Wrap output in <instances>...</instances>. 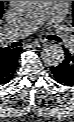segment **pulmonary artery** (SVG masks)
<instances>
[{
  "label": "pulmonary artery",
  "mask_w": 74,
  "mask_h": 122,
  "mask_svg": "<svg viewBox=\"0 0 74 122\" xmlns=\"http://www.w3.org/2000/svg\"><path fill=\"white\" fill-rule=\"evenodd\" d=\"M56 5L57 1H38L35 9L25 14L6 30L5 39L7 41H14L30 34L54 14ZM56 27L55 32L62 42L71 43L72 40L67 30L58 24Z\"/></svg>",
  "instance_id": "obj_1"
}]
</instances>
